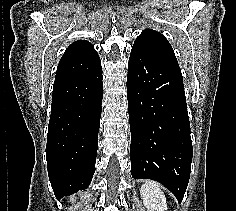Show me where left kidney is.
I'll return each instance as SVG.
<instances>
[{
	"mask_svg": "<svg viewBox=\"0 0 236 211\" xmlns=\"http://www.w3.org/2000/svg\"><path fill=\"white\" fill-rule=\"evenodd\" d=\"M140 194L148 211H167L165 195L154 182L146 181L141 186Z\"/></svg>",
	"mask_w": 236,
	"mask_h": 211,
	"instance_id": "left-kidney-1",
	"label": "left kidney"
}]
</instances>
